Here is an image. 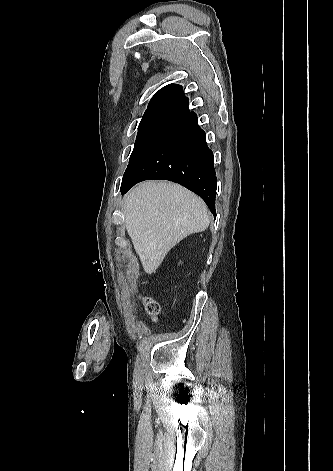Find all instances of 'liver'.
<instances>
[{
    "instance_id": "obj_1",
    "label": "liver",
    "mask_w": 333,
    "mask_h": 471,
    "mask_svg": "<svg viewBox=\"0 0 333 471\" xmlns=\"http://www.w3.org/2000/svg\"><path fill=\"white\" fill-rule=\"evenodd\" d=\"M125 226L145 273H154L167 253L190 234L209 226L203 200L165 181H146L124 200Z\"/></svg>"
}]
</instances>
